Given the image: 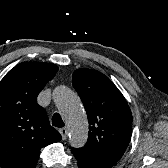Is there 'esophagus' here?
Segmentation results:
<instances>
[{
	"instance_id": "1",
	"label": "esophagus",
	"mask_w": 168,
	"mask_h": 168,
	"mask_svg": "<svg viewBox=\"0 0 168 168\" xmlns=\"http://www.w3.org/2000/svg\"><path fill=\"white\" fill-rule=\"evenodd\" d=\"M60 134L62 135L63 140L67 139L68 136V129L67 127H63L59 130Z\"/></svg>"
}]
</instances>
